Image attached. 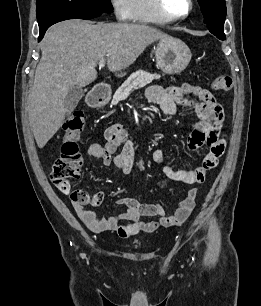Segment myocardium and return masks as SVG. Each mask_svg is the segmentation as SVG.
<instances>
[{
  "mask_svg": "<svg viewBox=\"0 0 261 306\" xmlns=\"http://www.w3.org/2000/svg\"><path fill=\"white\" fill-rule=\"evenodd\" d=\"M152 4L155 11L168 22H175L186 19L191 14L194 8V1L188 0L187 12L183 15L172 16L166 11L162 0H152Z\"/></svg>",
  "mask_w": 261,
  "mask_h": 306,
  "instance_id": "1",
  "label": "myocardium"
}]
</instances>
